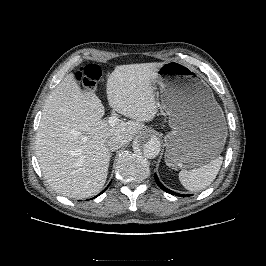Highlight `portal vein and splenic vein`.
Returning <instances> with one entry per match:
<instances>
[{
	"instance_id": "18ae733b",
	"label": "portal vein and splenic vein",
	"mask_w": 266,
	"mask_h": 266,
	"mask_svg": "<svg viewBox=\"0 0 266 266\" xmlns=\"http://www.w3.org/2000/svg\"><path fill=\"white\" fill-rule=\"evenodd\" d=\"M118 117L116 116V114H112L111 115V117H109V120H108V123L109 124H111V125H113V124H115V123H117L118 122ZM73 134H77L76 132H72ZM85 139V138H84Z\"/></svg>"
}]
</instances>
